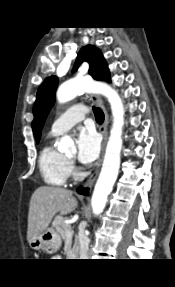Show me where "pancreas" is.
<instances>
[{
  "instance_id": "obj_1",
  "label": "pancreas",
  "mask_w": 175,
  "mask_h": 287,
  "mask_svg": "<svg viewBox=\"0 0 175 287\" xmlns=\"http://www.w3.org/2000/svg\"><path fill=\"white\" fill-rule=\"evenodd\" d=\"M52 228L59 234L63 240H67L66 229H71V227L63 222L61 217H56L52 222ZM78 249L77 237L73 246V251L76 252Z\"/></svg>"
}]
</instances>
